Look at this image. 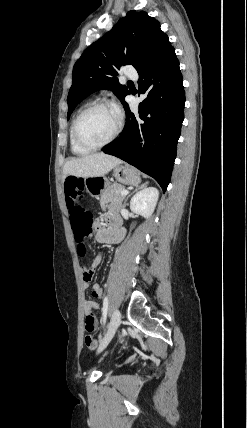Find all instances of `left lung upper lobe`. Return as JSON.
Here are the masks:
<instances>
[{"instance_id":"left-lung-upper-lobe-1","label":"left lung upper lobe","mask_w":247,"mask_h":428,"mask_svg":"<svg viewBox=\"0 0 247 428\" xmlns=\"http://www.w3.org/2000/svg\"><path fill=\"white\" fill-rule=\"evenodd\" d=\"M170 48L168 36L161 31L156 19L144 11H129L75 63L67 98V119L78 103L100 89L111 90L124 105L129 91L114 78L116 69L131 64L139 71Z\"/></svg>"}]
</instances>
